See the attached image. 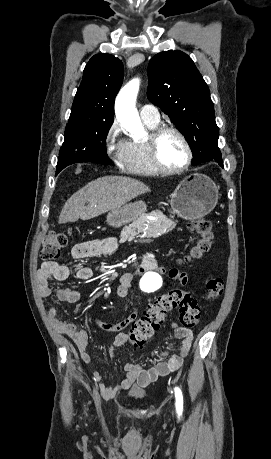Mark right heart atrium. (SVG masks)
Wrapping results in <instances>:
<instances>
[{
    "mask_svg": "<svg viewBox=\"0 0 271 459\" xmlns=\"http://www.w3.org/2000/svg\"><path fill=\"white\" fill-rule=\"evenodd\" d=\"M128 141L122 137V131L117 120L106 129L103 136V147L106 155L116 165L121 167L125 157Z\"/></svg>",
    "mask_w": 271,
    "mask_h": 459,
    "instance_id": "d8ad5b80",
    "label": "right heart atrium"
}]
</instances>
